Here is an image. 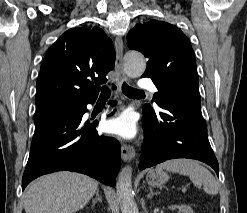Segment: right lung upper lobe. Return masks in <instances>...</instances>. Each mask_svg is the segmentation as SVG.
Segmentation results:
<instances>
[{"label":"right lung upper lobe","mask_w":247,"mask_h":213,"mask_svg":"<svg viewBox=\"0 0 247 213\" xmlns=\"http://www.w3.org/2000/svg\"><path fill=\"white\" fill-rule=\"evenodd\" d=\"M115 51L102 29L72 28L48 49L37 81L36 109L58 98H97L114 67Z\"/></svg>","instance_id":"right-lung-upper-lobe-1"}]
</instances>
